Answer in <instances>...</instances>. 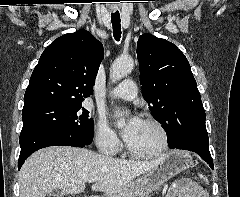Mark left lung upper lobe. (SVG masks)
I'll use <instances>...</instances> for the list:
<instances>
[{
    "label": "left lung upper lobe",
    "instance_id": "obj_1",
    "mask_svg": "<svg viewBox=\"0 0 240 197\" xmlns=\"http://www.w3.org/2000/svg\"><path fill=\"white\" fill-rule=\"evenodd\" d=\"M137 56L144 99L168 134L172 118L202 104L189 62L176 45L151 34L139 37Z\"/></svg>",
    "mask_w": 240,
    "mask_h": 197
}]
</instances>
